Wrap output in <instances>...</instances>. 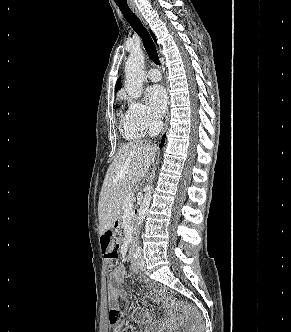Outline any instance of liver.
I'll list each match as a JSON object with an SVG mask.
<instances>
[{
	"label": "liver",
	"mask_w": 291,
	"mask_h": 332,
	"mask_svg": "<svg viewBox=\"0 0 291 332\" xmlns=\"http://www.w3.org/2000/svg\"><path fill=\"white\" fill-rule=\"evenodd\" d=\"M156 151V146L146 145L144 142H130L119 148L107 170L99 196L100 235L120 218L122 197L146 177Z\"/></svg>",
	"instance_id": "6515ba94"
}]
</instances>
